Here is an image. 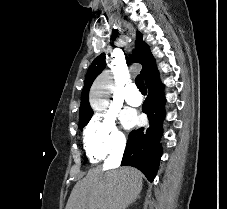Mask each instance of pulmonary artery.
<instances>
[{"instance_id": "e3ab8cb5", "label": "pulmonary artery", "mask_w": 227, "mask_h": 209, "mask_svg": "<svg viewBox=\"0 0 227 209\" xmlns=\"http://www.w3.org/2000/svg\"><path fill=\"white\" fill-rule=\"evenodd\" d=\"M128 87L124 88L125 92H132L128 93L125 96V101L127 104L131 106H140L143 102V98L139 92H136V87L138 86L137 82H128Z\"/></svg>"}]
</instances>
